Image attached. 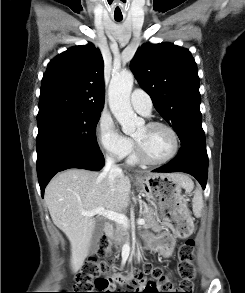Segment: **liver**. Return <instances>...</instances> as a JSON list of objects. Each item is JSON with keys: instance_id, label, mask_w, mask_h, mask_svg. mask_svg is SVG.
<instances>
[{"instance_id": "obj_1", "label": "liver", "mask_w": 245, "mask_h": 293, "mask_svg": "<svg viewBox=\"0 0 245 293\" xmlns=\"http://www.w3.org/2000/svg\"><path fill=\"white\" fill-rule=\"evenodd\" d=\"M169 175L183 188L191 190L192 181L183 174ZM131 184L128 176L119 174L112 187L106 175L84 169H69L53 178L45 189V202L53 223L62 230L71 244V268L74 273L82 267L91 244L96 219L82 211L98 207L121 212L129 205Z\"/></svg>"}]
</instances>
